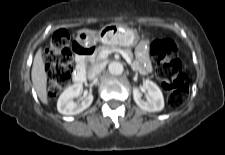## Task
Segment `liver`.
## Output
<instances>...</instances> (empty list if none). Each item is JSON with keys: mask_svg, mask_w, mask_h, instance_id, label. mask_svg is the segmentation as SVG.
<instances>
[{"mask_svg": "<svg viewBox=\"0 0 225 155\" xmlns=\"http://www.w3.org/2000/svg\"><path fill=\"white\" fill-rule=\"evenodd\" d=\"M97 31L89 29H81L79 34L86 33L87 35H94ZM31 77L33 86L42 103L48 104L47 98V73L45 71V64L42 58V50L39 49L34 57Z\"/></svg>", "mask_w": 225, "mask_h": 155, "instance_id": "1", "label": "liver"}]
</instances>
